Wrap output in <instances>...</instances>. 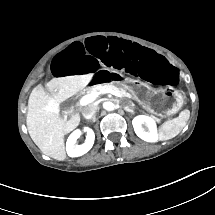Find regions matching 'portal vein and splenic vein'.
Listing matches in <instances>:
<instances>
[{
  "instance_id": "portal-vein-and-splenic-vein-1",
  "label": "portal vein and splenic vein",
  "mask_w": 215,
  "mask_h": 215,
  "mask_svg": "<svg viewBox=\"0 0 215 215\" xmlns=\"http://www.w3.org/2000/svg\"><path fill=\"white\" fill-rule=\"evenodd\" d=\"M107 93L115 95V96H122L124 94L122 91L115 90L113 86H104L103 89H101V90H99L97 92L89 93V94L84 95L81 98V104L82 105H87V104L93 102L94 100H96V98L100 94H107Z\"/></svg>"
}]
</instances>
